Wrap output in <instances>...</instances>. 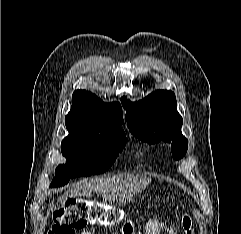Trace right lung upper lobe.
Returning a JSON list of instances; mask_svg holds the SVG:
<instances>
[{
	"instance_id": "obj_1",
	"label": "right lung upper lobe",
	"mask_w": 241,
	"mask_h": 234,
	"mask_svg": "<svg viewBox=\"0 0 241 234\" xmlns=\"http://www.w3.org/2000/svg\"><path fill=\"white\" fill-rule=\"evenodd\" d=\"M65 120L79 128L95 130H122L124 122L119 103H104L85 90L73 93L71 111Z\"/></svg>"
}]
</instances>
